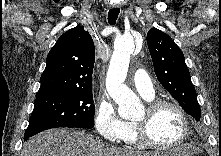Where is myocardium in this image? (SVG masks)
Segmentation results:
<instances>
[{"label": "myocardium", "mask_w": 221, "mask_h": 156, "mask_svg": "<svg viewBox=\"0 0 221 156\" xmlns=\"http://www.w3.org/2000/svg\"><path fill=\"white\" fill-rule=\"evenodd\" d=\"M164 107H170L177 111L183 121V133L180 139L172 145H162L154 142L148 135L147 122L152 118L159 110ZM147 120L146 121H134V134L138 143L143 146L154 148L157 150H171L181 146L189 137L191 132V123L186 111L178 103L166 100L158 99L151 101L147 105Z\"/></svg>", "instance_id": "1"}]
</instances>
